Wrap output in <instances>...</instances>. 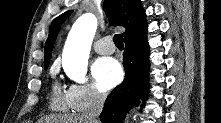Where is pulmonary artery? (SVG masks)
<instances>
[{
    "label": "pulmonary artery",
    "instance_id": "e3ab8cb5",
    "mask_svg": "<svg viewBox=\"0 0 221 123\" xmlns=\"http://www.w3.org/2000/svg\"><path fill=\"white\" fill-rule=\"evenodd\" d=\"M94 49L99 54H111L114 52L115 47L109 37L99 39L94 44Z\"/></svg>",
    "mask_w": 221,
    "mask_h": 123
}]
</instances>
